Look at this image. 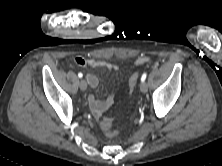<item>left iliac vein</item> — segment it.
Wrapping results in <instances>:
<instances>
[{
    "instance_id": "1",
    "label": "left iliac vein",
    "mask_w": 222,
    "mask_h": 166,
    "mask_svg": "<svg viewBox=\"0 0 222 166\" xmlns=\"http://www.w3.org/2000/svg\"><path fill=\"white\" fill-rule=\"evenodd\" d=\"M147 90H148L147 84H146L145 82H141V83H140V91H141L142 93H146Z\"/></svg>"
}]
</instances>
